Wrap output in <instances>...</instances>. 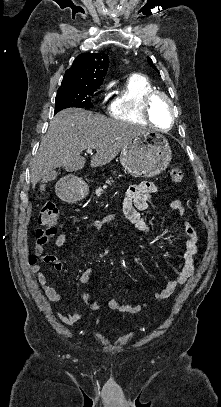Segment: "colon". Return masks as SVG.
<instances>
[{
	"label": "colon",
	"mask_w": 221,
	"mask_h": 407,
	"mask_svg": "<svg viewBox=\"0 0 221 407\" xmlns=\"http://www.w3.org/2000/svg\"><path fill=\"white\" fill-rule=\"evenodd\" d=\"M169 174L174 183H180L184 178V172L179 167H172L169 170ZM38 221L43 228L38 230L37 236L43 239L52 237L60 228V213L58 206L54 202L44 203L39 212ZM86 302L93 309L98 308V303L92 300H87Z\"/></svg>",
	"instance_id": "obj_1"
}]
</instances>
